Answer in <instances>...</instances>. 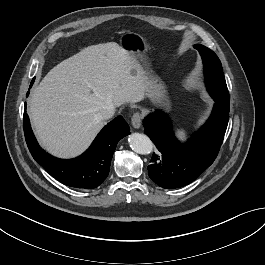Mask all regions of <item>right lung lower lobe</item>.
I'll return each mask as SVG.
<instances>
[{"mask_svg": "<svg viewBox=\"0 0 265 265\" xmlns=\"http://www.w3.org/2000/svg\"><path fill=\"white\" fill-rule=\"evenodd\" d=\"M33 82L34 79L31 84ZM23 119L26 143L33 158L55 179L75 188L92 189L99 186L109 174L117 143L130 134L128 124L122 116H118L101 130L85 153L75 159L62 160L40 148L26 111Z\"/></svg>", "mask_w": 265, "mask_h": 265, "instance_id": "right-lung-lower-lobe-1", "label": "right lung lower lobe"}]
</instances>
